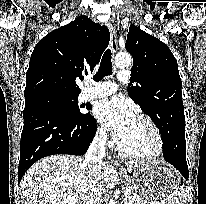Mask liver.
<instances>
[{
  "label": "liver",
  "instance_id": "6515ba94",
  "mask_svg": "<svg viewBox=\"0 0 206 204\" xmlns=\"http://www.w3.org/2000/svg\"><path fill=\"white\" fill-rule=\"evenodd\" d=\"M136 162H125L131 166ZM117 163H103L96 187L106 193L118 183ZM84 159L51 155L32 165L20 182L22 204H84L92 184Z\"/></svg>",
  "mask_w": 206,
  "mask_h": 204
}]
</instances>
